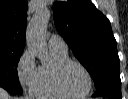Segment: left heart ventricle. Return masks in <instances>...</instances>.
I'll list each match as a JSON object with an SVG mask.
<instances>
[{
    "label": "left heart ventricle",
    "mask_w": 128,
    "mask_h": 99,
    "mask_svg": "<svg viewBox=\"0 0 128 99\" xmlns=\"http://www.w3.org/2000/svg\"><path fill=\"white\" fill-rule=\"evenodd\" d=\"M65 89L71 94H82L88 87V79L84 71L77 65H70L62 77Z\"/></svg>",
    "instance_id": "1"
}]
</instances>
